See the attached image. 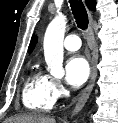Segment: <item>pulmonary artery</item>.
Masks as SVG:
<instances>
[{"mask_svg":"<svg viewBox=\"0 0 118 123\" xmlns=\"http://www.w3.org/2000/svg\"><path fill=\"white\" fill-rule=\"evenodd\" d=\"M63 45L69 51H76L81 47V40L77 35L71 34L66 36Z\"/></svg>","mask_w":118,"mask_h":123,"instance_id":"1","label":"pulmonary artery"}]
</instances>
